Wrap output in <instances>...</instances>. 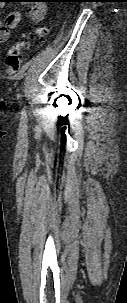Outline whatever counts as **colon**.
Returning <instances> with one entry per match:
<instances>
[{
	"instance_id": "1",
	"label": "colon",
	"mask_w": 127,
	"mask_h": 303,
	"mask_svg": "<svg viewBox=\"0 0 127 303\" xmlns=\"http://www.w3.org/2000/svg\"><path fill=\"white\" fill-rule=\"evenodd\" d=\"M48 33L49 27L42 26L37 28L33 33H29V35H36L39 38H44ZM28 47L29 44L26 40H19L10 47L6 55L7 74L12 75L19 70L22 63V51Z\"/></svg>"
}]
</instances>
